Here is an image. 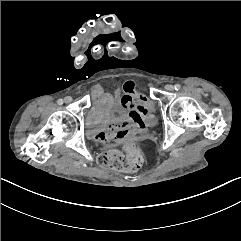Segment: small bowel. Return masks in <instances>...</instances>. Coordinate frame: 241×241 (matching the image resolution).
<instances>
[{"instance_id": "small-bowel-1", "label": "small bowel", "mask_w": 241, "mask_h": 241, "mask_svg": "<svg viewBox=\"0 0 241 241\" xmlns=\"http://www.w3.org/2000/svg\"><path fill=\"white\" fill-rule=\"evenodd\" d=\"M95 99L93 114L102 126L90 131L89 135L99 142H122L142 139L147 129L157 123V114L149 97L137 94L135 84L127 81L118 104V114L113 113L114 101L110 94L99 88L92 90Z\"/></svg>"}]
</instances>
